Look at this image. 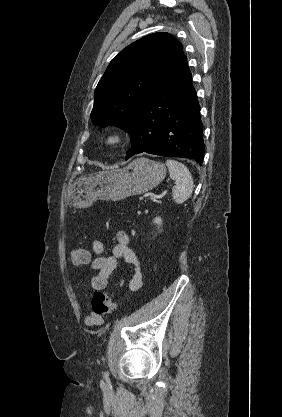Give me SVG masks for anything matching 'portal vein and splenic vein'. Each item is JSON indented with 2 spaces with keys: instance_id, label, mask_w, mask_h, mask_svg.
Wrapping results in <instances>:
<instances>
[{
  "instance_id": "portal-vein-and-splenic-vein-1",
  "label": "portal vein and splenic vein",
  "mask_w": 282,
  "mask_h": 417,
  "mask_svg": "<svg viewBox=\"0 0 282 417\" xmlns=\"http://www.w3.org/2000/svg\"><path fill=\"white\" fill-rule=\"evenodd\" d=\"M150 196V193L149 192H146L145 194H143L141 197H140V200L141 201H144L147 197H149Z\"/></svg>"
}]
</instances>
